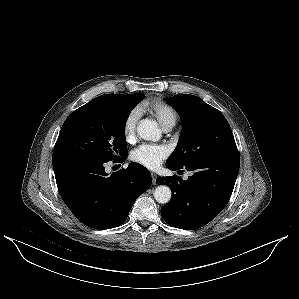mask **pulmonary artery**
I'll return each mask as SVG.
<instances>
[{
	"label": "pulmonary artery",
	"instance_id": "e3ab8cb5",
	"mask_svg": "<svg viewBox=\"0 0 299 299\" xmlns=\"http://www.w3.org/2000/svg\"><path fill=\"white\" fill-rule=\"evenodd\" d=\"M171 129H172L171 126H168V127L163 128V130H164L165 132H168V131H170Z\"/></svg>",
	"mask_w": 299,
	"mask_h": 299
}]
</instances>
